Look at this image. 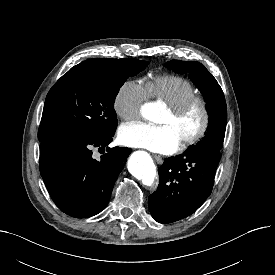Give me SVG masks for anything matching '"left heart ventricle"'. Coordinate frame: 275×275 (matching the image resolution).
I'll use <instances>...</instances> for the list:
<instances>
[{"mask_svg": "<svg viewBox=\"0 0 275 275\" xmlns=\"http://www.w3.org/2000/svg\"><path fill=\"white\" fill-rule=\"evenodd\" d=\"M202 122V112L199 106L190 108L179 117H173L168 110L164 112L159 120L161 125L169 126L179 143L192 136L200 127Z\"/></svg>", "mask_w": 275, "mask_h": 275, "instance_id": "obj_1", "label": "left heart ventricle"}]
</instances>
